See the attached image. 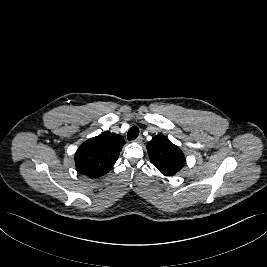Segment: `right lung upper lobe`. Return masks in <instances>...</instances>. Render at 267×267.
Returning a JSON list of instances; mask_svg holds the SVG:
<instances>
[{
	"label": "right lung upper lobe",
	"instance_id": "1",
	"mask_svg": "<svg viewBox=\"0 0 267 267\" xmlns=\"http://www.w3.org/2000/svg\"><path fill=\"white\" fill-rule=\"evenodd\" d=\"M124 144L121 135L102 132L79 146L75 154L76 168L89 177H100L112 169Z\"/></svg>",
	"mask_w": 267,
	"mask_h": 267
}]
</instances>
